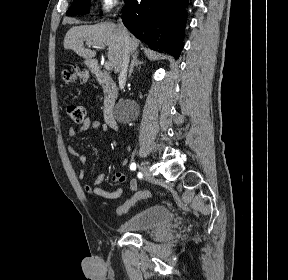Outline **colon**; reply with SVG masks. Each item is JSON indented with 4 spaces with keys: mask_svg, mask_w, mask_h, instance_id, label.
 <instances>
[{
    "mask_svg": "<svg viewBox=\"0 0 288 280\" xmlns=\"http://www.w3.org/2000/svg\"><path fill=\"white\" fill-rule=\"evenodd\" d=\"M65 79L68 82L81 81L86 82L88 80V74L84 70L76 69L73 74L66 73ZM67 112L69 117L75 123H82L85 119V108L82 105L71 104L67 107ZM150 197L148 191H140L135 196L121 204L117 207L116 213L118 215L125 214L132 206H134L138 201L146 200Z\"/></svg>",
    "mask_w": 288,
    "mask_h": 280,
    "instance_id": "5ec220e1",
    "label": "colon"
}]
</instances>
